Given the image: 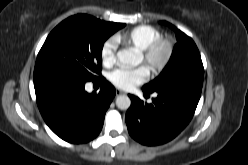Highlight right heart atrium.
<instances>
[{
	"label": "right heart atrium",
	"instance_id": "obj_1",
	"mask_svg": "<svg viewBox=\"0 0 248 165\" xmlns=\"http://www.w3.org/2000/svg\"><path fill=\"white\" fill-rule=\"evenodd\" d=\"M117 43L114 39L106 40L100 51L101 62L106 68L112 67L116 63Z\"/></svg>",
	"mask_w": 248,
	"mask_h": 165
}]
</instances>
